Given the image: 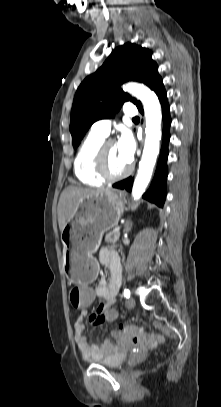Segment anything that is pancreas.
<instances>
[{
	"mask_svg": "<svg viewBox=\"0 0 221 407\" xmlns=\"http://www.w3.org/2000/svg\"><path fill=\"white\" fill-rule=\"evenodd\" d=\"M120 237V232L113 230L105 235V242L107 244H115Z\"/></svg>",
	"mask_w": 221,
	"mask_h": 407,
	"instance_id": "cf45deb5",
	"label": "pancreas"
}]
</instances>
